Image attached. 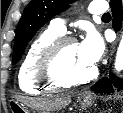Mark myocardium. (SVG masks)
<instances>
[{"label":"myocardium","mask_w":123,"mask_h":113,"mask_svg":"<svg viewBox=\"0 0 123 113\" xmlns=\"http://www.w3.org/2000/svg\"><path fill=\"white\" fill-rule=\"evenodd\" d=\"M70 44H77V40L71 36H60L45 49L37 67L42 81L52 86L67 88L88 83L96 77L97 69L95 67L89 74L81 78L70 79L63 74L60 61L65 48Z\"/></svg>","instance_id":"f54148a6"}]
</instances>
